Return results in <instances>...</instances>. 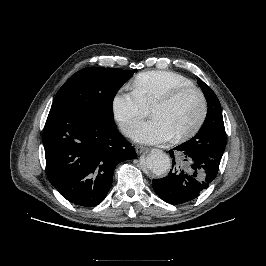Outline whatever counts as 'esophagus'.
<instances>
[{"label": "esophagus", "mask_w": 266, "mask_h": 266, "mask_svg": "<svg viewBox=\"0 0 266 266\" xmlns=\"http://www.w3.org/2000/svg\"><path fill=\"white\" fill-rule=\"evenodd\" d=\"M147 149H148V148L143 147V146H136V147H135V151H136L137 154H141V153H143L144 151H146Z\"/></svg>", "instance_id": "esophagus-1"}]
</instances>
